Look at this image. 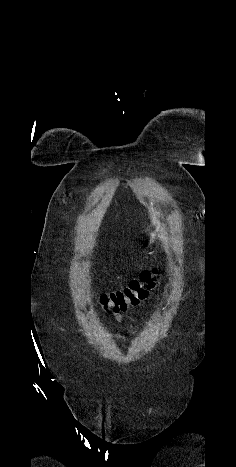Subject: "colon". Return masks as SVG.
Segmentation results:
<instances>
[{
	"label": "colon",
	"instance_id": "colon-1",
	"mask_svg": "<svg viewBox=\"0 0 236 467\" xmlns=\"http://www.w3.org/2000/svg\"><path fill=\"white\" fill-rule=\"evenodd\" d=\"M156 274V268L144 270L138 279L130 281L126 287L102 294L100 303L107 311L114 313L125 311L128 306L136 305L147 297L155 285L154 277Z\"/></svg>",
	"mask_w": 236,
	"mask_h": 467
}]
</instances>
